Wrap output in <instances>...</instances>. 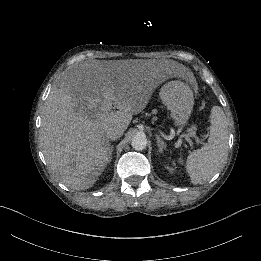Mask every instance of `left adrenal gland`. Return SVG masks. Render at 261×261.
<instances>
[{
  "mask_svg": "<svg viewBox=\"0 0 261 261\" xmlns=\"http://www.w3.org/2000/svg\"><path fill=\"white\" fill-rule=\"evenodd\" d=\"M156 139H157V144L159 147V152H162L163 149H166V144L164 143V141L161 139V137L159 135H156Z\"/></svg>",
  "mask_w": 261,
  "mask_h": 261,
  "instance_id": "obj_1",
  "label": "left adrenal gland"
}]
</instances>
